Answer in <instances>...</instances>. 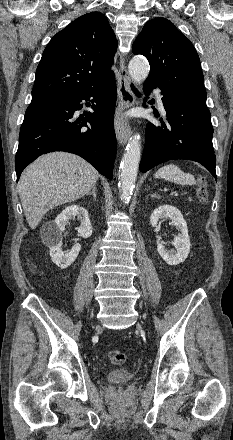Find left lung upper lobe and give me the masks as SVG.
I'll return each mask as SVG.
<instances>
[{"label":"left lung upper lobe","instance_id":"5c2ea615","mask_svg":"<svg viewBox=\"0 0 233 440\" xmlns=\"http://www.w3.org/2000/svg\"><path fill=\"white\" fill-rule=\"evenodd\" d=\"M132 50L148 59L150 75L147 81L161 90L206 97L199 56L190 40L169 20L148 21Z\"/></svg>","mask_w":233,"mask_h":440}]
</instances>
